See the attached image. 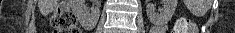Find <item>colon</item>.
Here are the masks:
<instances>
[{"instance_id":"5ec220e1","label":"colon","mask_w":235,"mask_h":33,"mask_svg":"<svg viewBox=\"0 0 235 33\" xmlns=\"http://www.w3.org/2000/svg\"><path fill=\"white\" fill-rule=\"evenodd\" d=\"M54 33H80L75 15L66 3L60 4L53 13ZM195 27L186 19H180L173 33H194Z\"/></svg>"}]
</instances>
